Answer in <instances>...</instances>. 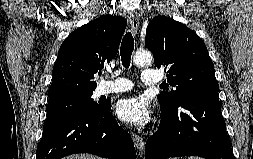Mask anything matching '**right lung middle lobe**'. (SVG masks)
Segmentation results:
<instances>
[{
	"label": "right lung middle lobe",
	"instance_id": "right-lung-middle-lobe-1",
	"mask_svg": "<svg viewBox=\"0 0 253 159\" xmlns=\"http://www.w3.org/2000/svg\"><path fill=\"white\" fill-rule=\"evenodd\" d=\"M93 91L67 95L50 99L47 104V119L43 131L54 127L70 116L81 112H96L105 102H95L91 96Z\"/></svg>",
	"mask_w": 253,
	"mask_h": 159
}]
</instances>
